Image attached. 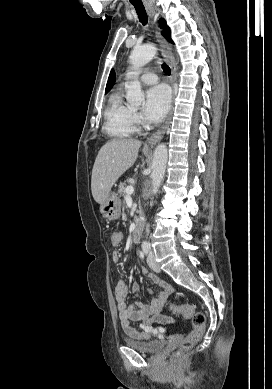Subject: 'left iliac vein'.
Returning <instances> with one entry per match:
<instances>
[{
    "label": "left iliac vein",
    "mask_w": 272,
    "mask_h": 389,
    "mask_svg": "<svg viewBox=\"0 0 272 389\" xmlns=\"http://www.w3.org/2000/svg\"><path fill=\"white\" fill-rule=\"evenodd\" d=\"M147 262H148L149 267L153 271H155V272H160L161 271L159 265L157 264V262L155 260L154 253L152 251H150L148 256H147Z\"/></svg>",
    "instance_id": "4c4485c4"
}]
</instances>
